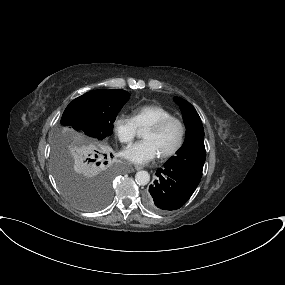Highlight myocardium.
<instances>
[{
    "label": "myocardium",
    "instance_id": "obj_1",
    "mask_svg": "<svg viewBox=\"0 0 285 285\" xmlns=\"http://www.w3.org/2000/svg\"><path fill=\"white\" fill-rule=\"evenodd\" d=\"M172 122H175L179 125V128H180L179 141L175 145V147L172 148L169 152L159 155L160 159H162V160H167L169 158H172L182 149V147L184 145V141H185V136H186V128H185L184 122L177 117L171 116V117L164 118V119L152 124L151 126H149L146 129V130H150V131H154V132H159V131L163 130L167 125H169Z\"/></svg>",
    "mask_w": 285,
    "mask_h": 285
}]
</instances>
